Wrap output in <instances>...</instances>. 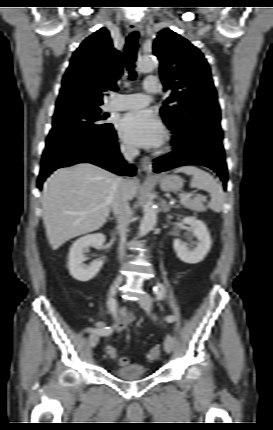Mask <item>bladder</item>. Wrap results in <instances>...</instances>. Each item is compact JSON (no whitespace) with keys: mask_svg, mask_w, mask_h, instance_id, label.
<instances>
[{"mask_svg":"<svg viewBox=\"0 0 273 430\" xmlns=\"http://www.w3.org/2000/svg\"><path fill=\"white\" fill-rule=\"evenodd\" d=\"M114 374L123 380H135L146 375V367L138 363H130L119 367Z\"/></svg>","mask_w":273,"mask_h":430,"instance_id":"obj_1","label":"bladder"}]
</instances>
